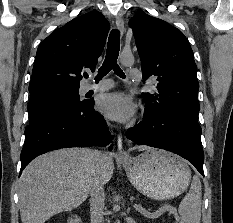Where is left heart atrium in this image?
Here are the masks:
<instances>
[{"mask_svg":"<svg viewBox=\"0 0 233 223\" xmlns=\"http://www.w3.org/2000/svg\"><path fill=\"white\" fill-rule=\"evenodd\" d=\"M99 111L107 119L126 123L135 116L137 108L130 96L113 94L100 99Z\"/></svg>","mask_w":233,"mask_h":223,"instance_id":"39dd6f15","label":"left heart atrium"}]
</instances>
